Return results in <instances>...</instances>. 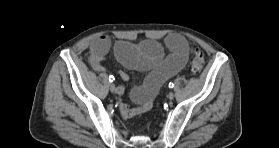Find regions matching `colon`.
Returning <instances> with one entry per match:
<instances>
[{"mask_svg":"<svg viewBox=\"0 0 279 148\" xmlns=\"http://www.w3.org/2000/svg\"><path fill=\"white\" fill-rule=\"evenodd\" d=\"M205 59L203 52L198 48H193L191 70L194 75H199L204 67Z\"/></svg>","mask_w":279,"mask_h":148,"instance_id":"obj_1","label":"colon"}]
</instances>
